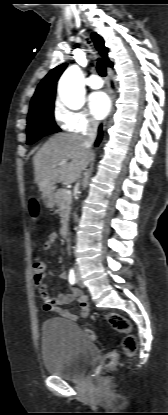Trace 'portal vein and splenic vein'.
<instances>
[{"label":"portal vein and splenic vein","instance_id":"portal-vein-and-splenic-vein-1","mask_svg":"<svg viewBox=\"0 0 168 415\" xmlns=\"http://www.w3.org/2000/svg\"><path fill=\"white\" fill-rule=\"evenodd\" d=\"M66 162H67L66 160H63L60 163H58L57 165L58 166H61V165H64ZM65 193L68 194V195H70L71 194V190H66Z\"/></svg>","mask_w":168,"mask_h":415}]
</instances>
